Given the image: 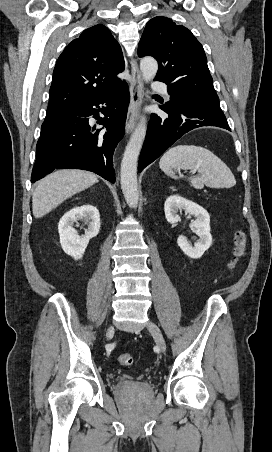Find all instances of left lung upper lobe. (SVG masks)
<instances>
[{
  "mask_svg": "<svg viewBox=\"0 0 272 452\" xmlns=\"http://www.w3.org/2000/svg\"><path fill=\"white\" fill-rule=\"evenodd\" d=\"M138 55L158 61L155 80L166 83L171 96L198 95L219 100L204 49L184 26L166 17L151 19L139 42Z\"/></svg>",
  "mask_w": 272,
  "mask_h": 452,
  "instance_id": "1",
  "label": "left lung upper lobe"
}]
</instances>
